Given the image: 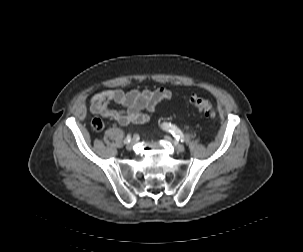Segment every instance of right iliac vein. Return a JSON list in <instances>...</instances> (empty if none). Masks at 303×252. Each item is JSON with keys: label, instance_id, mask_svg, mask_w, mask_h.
<instances>
[{"label": "right iliac vein", "instance_id": "obj_1", "mask_svg": "<svg viewBox=\"0 0 303 252\" xmlns=\"http://www.w3.org/2000/svg\"><path fill=\"white\" fill-rule=\"evenodd\" d=\"M134 145H135V141L132 140L131 142L126 144V149L131 151Z\"/></svg>", "mask_w": 303, "mask_h": 252}]
</instances>
